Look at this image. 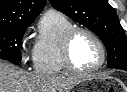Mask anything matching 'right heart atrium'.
Masks as SVG:
<instances>
[{"instance_id": "right-heart-atrium-1", "label": "right heart atrium", "mask_w": 127, "mask_h": 92, "mask_svg": "<svg viewBox=\"0 0 127 92\" xmlns=\"http://www.w3.org/2000/svg\"><path fill=\"white\" fill-rule=\"evenodd\" d=\"M29 36V30H27L23 36L20 44V57L23 63H27L30 58L34 55V49H31L27 45V38Z\"/></svg>"}]
</instances>
